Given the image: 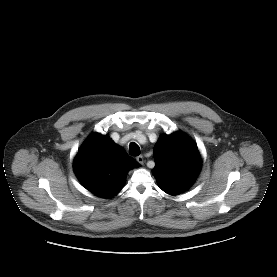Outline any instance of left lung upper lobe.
<instances>
[{
	"instance_id": "1",
	"label": "left lung upper lobe",
	"mask_w": 277,
	"mask_h": 277,
	"mask_svg": "<svg viewBox=\"0 0 277 277\" xmlns=\"http://www.w3.org/2000/svg\"><path fill=\"white\" fill-rule=\"evenodd\" d=\"M153 174L159 187L170 195L189 188L201 168L196 144L183 132L164 135L154 146Z\"/></svg>"
}]
</instances>
